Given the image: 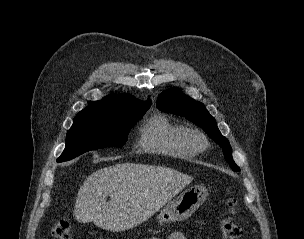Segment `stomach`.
<instances>
[{
    "label": "stomach",
    "instance_id": "stomach-1",
    "mask_svg": "<svg viewBox=\"0 0 304 239\" xmlns=\"http://www.w3.org/2000/svg\"><path fill=\"white\" fill-rule=\"evenodd\" d=\"M208 195L206 187L192 186L183 191L177 198L167 202L160 210L157 219L164 223L182 221L189 218L203 204Z\"/></svg>",
    "mask_w": 304,
    "mask_h": 239
}]
</instances>
